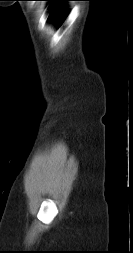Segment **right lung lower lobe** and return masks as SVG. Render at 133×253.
I'll return each mask as SVG.
<instances>
[{
  "instance_id": "obj_1",
  "label": "right lung lower lobe",
  "mask_w": 133,
  "mask_h": 253,
  "mask_svg": "<svg viewBox=\"0 0 133 253\" xmlns=\"http://www.w3.org/2000/svg\"><path fill=\"white\" fill-rule=\"evenodd\" d=\"M39 1H56L57 3L55 4V6L53 7L52 11H51V15L52 14H56L57 11L59 10V8L61 7L60 4L62 2H65V1H75V0H39Z\"/></svg>"
}]
</instances>
